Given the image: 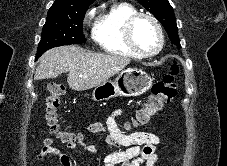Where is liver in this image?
Instances as JSON below:
<instances>
[{"label":"liver","instance_id":"1","mask_svg":"<svg viewBox=\"0 0 227 166\" xmlns=\"http://www.w3.org/2000/svg\"><path fill=\"white\" fill-rule=\"evenodd\" d=\"M130 61L125 56L95 53L78 46H61L48 50L40 57L34 79H51L69 72V87L85 91L107 82Z\"/></svg>","mask_w":227,"mask_h":166}]
</instances>
